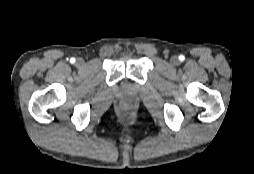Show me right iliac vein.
Instances as JSON below:
<instances>
[{
	"instance_id": "right-iliac-vein-1",
	"label": "right iliac vein",
	"mask_w": 254,
	"mask_h": 174,
	"mask_svg": "<svg viewBox=\"0 0 254 174\" xmlns=\"http://www.w3.org/2000/svg\"><path fill=\"white\" fill-rule=\"evenodd\" d=\"M76 63L78 66H82V65H84V60L82 58H78Z\"/></svg>"
}]
</instances>
